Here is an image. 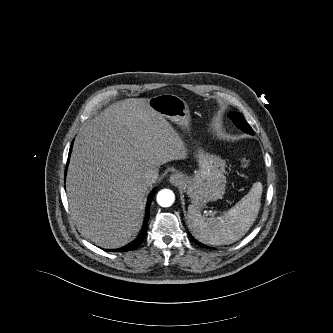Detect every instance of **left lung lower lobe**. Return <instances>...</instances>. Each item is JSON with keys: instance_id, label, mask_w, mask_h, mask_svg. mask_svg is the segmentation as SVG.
I'll list each match as a JSON object with an SVG mask.
<instances>
[{"instance_id": "1", "label": "left lung lower lobe", "mask_w": 333, "mask_h": 333, "mask_svg": "<svg viewBox=\"0 0 333 333\" xmlns=\"http://www.w3.org/2000/svg\"><path fill=\"white\" fill-rule=\"evenodd\" d=\"M192 239H193V241H194L195 243H197L198 245L203 246V247H206L205 245H203V244H201L200 242L196 241L193 237H192Z\"/></svg>"}]
</instances>
